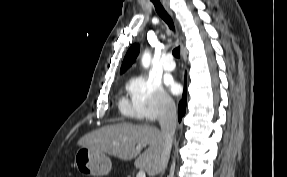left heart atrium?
<instances>
[{
    "label": "left heart atrium",
    "mask_w": 287,
    "mask_h": 177,
    "mask_svg": "<svg viewBox=\"0 0 287 177\" xmlns=\"http://www.w3.org/2000/svg\"><path fill=\"white\" fill-rule=\"evenodd\" d=\"M166 84L173 94H178L181 90L180 85L173 78L166 79Z\"/></svg>",
    "instance_id": "39dd6f15"
}]
</instances>
